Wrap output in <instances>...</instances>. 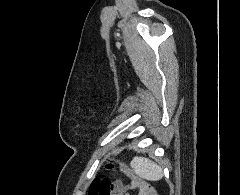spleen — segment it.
<instances>
[{"label":"spleen","mask_w":240,"mask_h":195,"mask_svg":"<svg viewBox=\"0 0 240 195\" xmlns=\"http://www.w3.org/2000/svg\"><path fill=\"white\" fill-rule=\"evenodd\" d=\"M131 165L135 173H137L139 177H143V179L158 181V179H162L163 177L162 167H160L158 163L150 161L147 157H133Z\"/></svg>","instance_id":"obj_1"}]
</instances>
